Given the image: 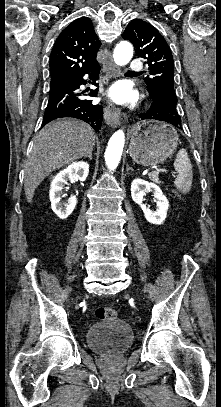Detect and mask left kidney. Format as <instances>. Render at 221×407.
I'll use <instances>...</instances> for the list:
<instances>
[{
    "mask_svg": "<svg viewBox=\"0 0 221 407\" xmlns=\"http://www.w3.org/2000/svg\"><path fill=\"white\" fill-rule=\"evenodd\" d=\"M146 192H153L154 197L157 199L155 211L150 210L143 204V196ZM131 196L133 201L141 207L148 222L157 225L163 223L167 216L169 202L159 186L142 179H135L131 183Z\"/></svg>",
    "mask_w": 221,
    "mask_h": 407,
    "instance_id": "left-kidney-1",
    "label": "left kidney"
}]
</instances>
